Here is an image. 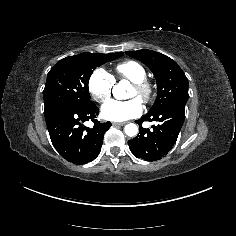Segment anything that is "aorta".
I'll use <instances>...</instances> for the list:
<instances>
[{
	"instance_id": "762f6f07",
	"label": "aorta",
	"mask_w": 236,
	"mask_h": 236,
	"mask_svg": "<svg viewBox=\"0 0 236 236\" xmlns=\"http://www.w3.org/2000/svg\"><path fill=\"white\" fill-rule=\"evenodd\" d=\"M124 131L127 136H135L138 133V127L134 123H129L125 125Z\"/></svg>"
}]
</instances>
